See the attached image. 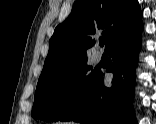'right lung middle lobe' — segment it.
Segmentation results:
<instances>
[{
    "mask_svg": "<svg viewBox=\"0 0 156 124\" xmlns=\"http://www.w3.org/2000/svg\"><path fill=\"white\" fill-rule=\"evenodd\" d=\"M87 62L39 79L32 117L58 121L77 104L95 81L99 71H91Z\"/></svg>",
    "mask_w": 156,
    "mask_h": 124,
    "instance_id": "obj_1",
    "label": "right lung middle lobe"
}]
</instances>
